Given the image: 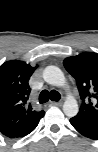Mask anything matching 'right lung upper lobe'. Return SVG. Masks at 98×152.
Returning <instances> with one entry per match:
<instances>
[{"label":"right lung upper lobe","mask_w":98,"mask_h":152,"mask_svg":"<svg viewBox=\"0 0 98 152\" xmlns=\"http://www.w3.org/2000/svg\"><path fill=\"white\" fill-rule=\"evenodd\" d=\"M23 61H7L0 67V133L13 138L27 129L44 111H35L29 103L28 81L35 71Z\"/></svg>","instance_id":"1"}]
</instances>
